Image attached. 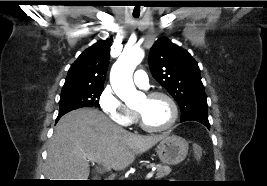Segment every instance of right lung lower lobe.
I'll use <instances>...</instances> for the list:
<instances>
[{
  "mask_svg": "<svg viewBox=\"0 0 267 186\" xmlns=\"http://www.w3.org/2000/svg\"><path fill=\"white\" fill-rule=\"evenodd\" d=\"M65 113H62V114H59L57 119H56V122L64 115Z\"/></svg>",
  "mask_w": 267,
  "mask_h": 186,
  "instance_id": "obj_1",
  "label": "right lung lower lobe"
}]
</instances>
